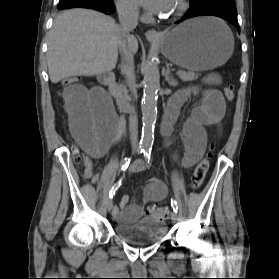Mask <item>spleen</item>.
<instances>
[{
    "instance_id": "3e777b00",
    "label": "spleen",
    "mask_w": 279,
    "mask_h": 279,
    "mask_svg": "<svg viewBox=\"0 0 279 279\" xmlns=\"http://www.w3.org/2000/svg\"><path fill=\"white\" fill-rule=\"evenodd\" d=\"M226 29L230 30L227 26H226ZM205 82L219 84V83H221V79L217 75L210 74L205 78Z\"/></svg>"
}]
</instances>
